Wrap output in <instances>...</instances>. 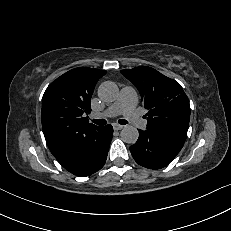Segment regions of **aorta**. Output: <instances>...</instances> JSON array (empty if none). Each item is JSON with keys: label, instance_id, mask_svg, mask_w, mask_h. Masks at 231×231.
I'll use <instances>...</instances> for the list:
<instances>
[{"label": "aorta", "instance_id": "aorta-1", "mask_svg": "<svg viewBox=\"0 0 231 231\" xmlns=\"http://www.w3.org/2000/svg\"><path fill=\"white\" fill-rule=\"evenodd\" d=\"M118 94V87L114 82L105 81L98 88V96L106 102H113ZM121 139L128 144H135L139 137L136 127L127 125L121 130Z\"/></svg>", "mask_w": 231, "mask_h": 231}]
</instances>
